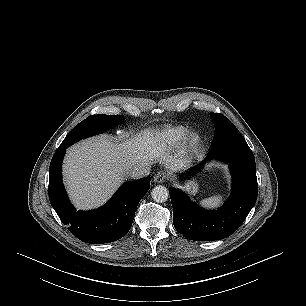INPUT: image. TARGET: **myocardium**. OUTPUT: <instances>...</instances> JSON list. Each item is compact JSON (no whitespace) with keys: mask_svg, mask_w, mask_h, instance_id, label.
<instances>
[{"mask_svg":"<svg viewBox=\"0 0 306 306\" xmlns=\"http://www.w3.org/2000/svg\"><path fill=\"white\" fill-rule=\"evenodd\" d=\"M199 137L195 132H189L184 138V144L187 148H194L198 143Z\"/></svg>","mask_w":306,"mask_h":306,"instance_id":"obj_1","label":"myocardium"}]
</instances>
